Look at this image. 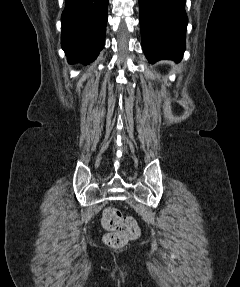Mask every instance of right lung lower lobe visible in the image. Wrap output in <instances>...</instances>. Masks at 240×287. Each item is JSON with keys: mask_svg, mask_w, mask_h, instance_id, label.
<instances>
[{"mask_svg": "<svg viewBox=\"0 0 240 287\" xmlns=\"http://www.w3.org/2000/svg\"><path fill=\"white\" fill-rule=\"evenodd\" d=\"M109 0H66L61 46L69 63L92 62L102 50Z\"/></svg>", "mask_w": 240, "mask_h": 287, "instance_id": "1", "label": "right lung lower lobe"}]
</instances>
